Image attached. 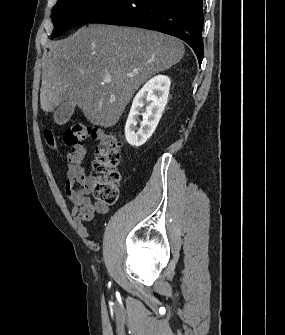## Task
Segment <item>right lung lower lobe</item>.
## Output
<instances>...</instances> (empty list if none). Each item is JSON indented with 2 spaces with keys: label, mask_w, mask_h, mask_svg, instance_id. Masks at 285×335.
<instances>
[{
  "label": "right lung lower lobe",
  "mask_w": 285,
  "mask_h": 335,
  "mask_svg": "<svg viewBox=\"0 0 285 335\" xmlns=\"http://www.w3.org/2000/svg\"><path fill=\"white\" fill-rule=\"evenodd\" d=\"M203 0H119L89 23L153 29L184 40L203 59Z\"/></svg>",
  "instance_id": "right-lung-lower-lobe-1"
}]
</instances>
